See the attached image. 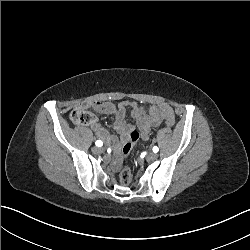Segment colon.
Segmentation results:
<instances>
[{
  "instance_id": "obj_1",
  "label": "colon",
  "mask_w": 250,
  "mask_h": 250,
  "mask_svg": "<svg viewBox=\"0 0 250 250\" xmlns=\"http://www.w3.org/2000/svg\"><path fill=\"white\" fill-rule=\"evenodd\" d=\"M70 120L73 124L78 126H89L94 122V116L85 109L75 108L70 113ZM163 123L169 128L174 124L173 120L170 118L165 119ZM131 137L133 139H128L127 143H124L123 148L121 149V152L124 155H127L130 152V146L134 145V140H139L140 134L139 132H134ZM132 174L133 172L131 171V165H124L122 167V171L120 172L119 183L122 186H130L132 184Z\"/></svg>"
}]
</instances>
